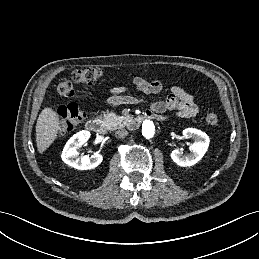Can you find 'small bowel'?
Here are the masks:
<instances>
[{"label":"small bowel","mask_w":259,"mask_h":259,"mask_svg":"<svg viewBox=\"0 0 259 259\" xmlns=\"http://www.w3.org/2000/svg\"><path fill=\"white\" fill-rule=\"evenodd\" d=\"M134 85L144 94H158L162 88V82L159 80L148 81L142 77H135ZM124 87H115L111 91V96L107 100L110 106H118L123 104H135L141 100L135 96L125 94ZM151 113L158 120H166L163 116L166 110H178L179 118H191L197 115L198 107L192 94L186 92L178 86L170 87L167 98L163 101L156 100L149 104Z\"/></svg>","instance_id":"obj_1"}]
</instances>
